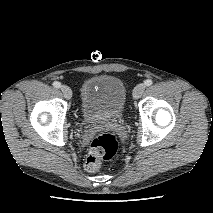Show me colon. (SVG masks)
Returning a JSON list of instances; mask_svg holds the SVG:
<instances>
[{
    "instance_id": "obj_1",
    "label": "colon",
    "mask_w": 213,
    "mask_h": 213,
    "mask_svg": "<svg viewBox=\"0 0 213 213\" xmlns=\"http://www.w3.org/2000/svg\"><path fill=\"white\" fill-rule=\"evenodd\" d=\"M118 139L110 132L100 133L94 137L90 144L88 155L84 162V168L90 173L101 170L102 161L114 158L118 151Z\"/></svg>"
}]
</instances>
